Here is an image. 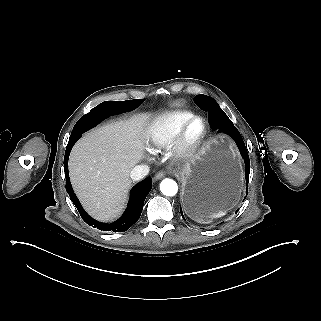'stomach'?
Wrapping results in <instances>:
<instances>
[{
	"mask_svg": "<svg viewBox=\"0 0 321 321\" xmlns=\"http://www.w3.org/2000/svg\"><path fill=\"white\" fill-rule=\"evenodd\" d=\"M178 177L182 203L190 218L199 221L202 212L232 207L242 185L241 162L234 144L225 136L207 142Z\"/></svg>",
	"mask_w": 321,
	"mask_h": 321,
	"instance_id": "0dacf381",
	"label": "stomach"
}]
</instances>
